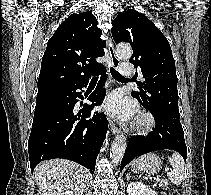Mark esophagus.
Masks as SVG:
<instances>
[{"label":"esophagus","instance_id":"obj_1","mask_svg":"<svg viewBox=\"0 0 211 195\" xmlns=\"http://www.w3.org/2000/svg\"><path fill=\"white\" fill-rule=\"evenodd\" d=\"M107 47H108V53L110 56L111 65L113 68L117 69L120 65V61L115 54L113 41L111 38L108 40ZM110 129H111L112 134L114 135L120 132V129L113 122L110 123Z\"/></svg>","mask_w":211,"mask_h":195}]
</instances>
